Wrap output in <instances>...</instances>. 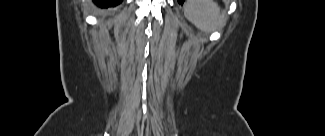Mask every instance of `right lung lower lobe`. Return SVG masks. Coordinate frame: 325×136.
Segmentation results:
<instances>
[{"label":"right lung lower lobe","mask_w":325,"mask_h":136,"mask_svg":"<svg viewBox=\"0 0 325 136\" xmlns=\"http://www.w3.org/2000/svg\"><path fill=\"white\" fill-rule=\"evenodd\" d=\"M94 2L101 7H109L118 5L122 0H94Z\"/></svg>","instance_id":"right-lung-lower-lobe-1"}]
</instances>
